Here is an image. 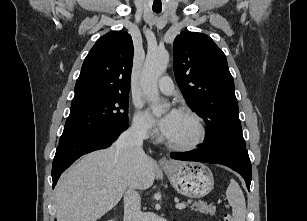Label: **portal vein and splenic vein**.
Here are the masks:
<instances>
[{
  "label": "portal vein and splenic vein",
  "instance_id": "portal-vein-and-splenic-vein-1",
  "mask_svg": "<svg viewBox=\"0 0 307 221\" xmlns=\"http://www.w3.org/2000/svg\"><path fill=\"white\" fill-rule=\"evenodd\" d=\"M176 208L179 209V210H182V209L186 208V204L178 203V204H176Z\"/></svg>",
  "mask_w": 307,
  "mask_h": 221
}]
</instances>
